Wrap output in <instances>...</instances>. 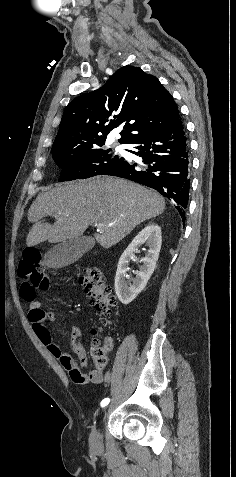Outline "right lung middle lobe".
<instances>
[{"label": "right lung middle lobe", "instance_id": "right-lung-middle-lobe-1", "mask_svg": "<svg viewBox=\"0 0 236 477\" xmlns=\"http://www.w3.org/2000/svg\"><path fill=\"white\" fill-rule=\"evenodd\" d=\"M110 149L102 150L90 147L77 152L53 155L56 164L62 168L59 181L86 179L97 175H106L124 161L118 156L112 157Z\"/></svg>", "mask_w": 236, "mask_h": 477}]
</instances>
